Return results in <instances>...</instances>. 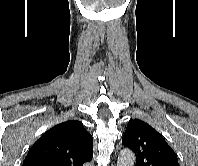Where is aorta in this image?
Instances as JSON below:
<instances>
[{
  "label": "aorta",
  "instance_id": "1",
  "mask_svg": "<svg viewBox=\"0 0 198 166\" xmlns=\"http://www.w3.org/2000/svg\"><path fill=\"white\" fill-rule=\"evenodd\" d=\"M135 163V155L134 153L129 149H123L121 150L117 166H134Z\"/></svg>",
  "mask_w": 198,
  "mask_h": 166
}]
</instances>
